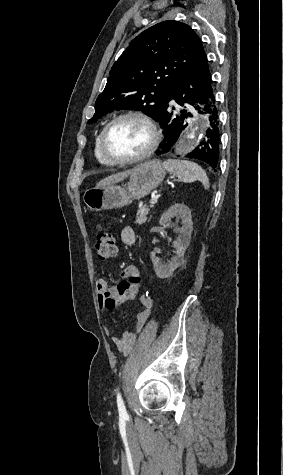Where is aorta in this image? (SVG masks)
<instances>
[{
	"mask_svg": "<svg viewBox=\"0 0 283 475\" xmlns=\"http://www.w3.org/2000/svg\"><path fill=\"white\" fill-rule=\"evenodd\" d=\"M208 124V119L204 118L202 121H197L194 125L190 126L177 141L175 145L176 152L183 155L198 145Z\"/></svg>",
	"mask_w": 283,
	"mask_h": 475,
	"instance_id": "1",
	"label": "aorta"
}]
</instances>
